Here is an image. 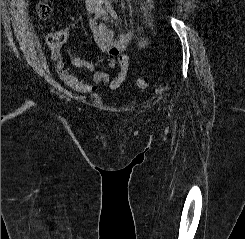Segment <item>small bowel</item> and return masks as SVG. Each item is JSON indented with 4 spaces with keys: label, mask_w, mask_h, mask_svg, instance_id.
<instances>
[{
    "label": "small bowel",
    "mask_w": 245,
    "mask_h": 239,
    "mask_svg": "<svg viewBox=\"0 0 245 239\" xmlns=\"http://www.w3.org/2000/svg\"><path fill=\"white\" fill-rule=\"evenodd\" d=\"M145 2L149 7L153 6V0H145ZM90 27L97 47L107 54V66L112 69L118 66L117 75L110 79L106 72L97 71L92 82L82 80L74 71L65 67L63 55L59 51H54L51 54V60L55 63V71L63 82L77 92L90 93L96 91L100 85L116 90L124 83L127 77L129 58L125 54V50L131 40V35L122 34L117 36L109 26L97 24L93 20L90 21ZM58 35L62 41L65 40V32H60ZM141 45L144 46L145 42H141ZM67 56L73 67L88 71L95 70V65L92 61L82 59L74 51L68 50Z\"/></svg>",
    "instance_id": "obj_1"
}]
</instances>
